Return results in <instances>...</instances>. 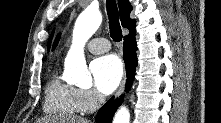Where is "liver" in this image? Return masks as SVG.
Instances as JSON below:
<instances>
[{
  "label": "liver",
  "mask_w": 221,
  "mask_h": 123,
  "mask_svg": "<svg viewBox=\"0 0 221 123\" xmlns=\"http://www.w3.org/2000/svg\"><path fill=\"white\" fill-rule=\"evenodd\" d=\"M47 121V120H46ZM52 121H56L55 119H53ZM61 122L65 123L66 120L65 119H62L60 120ZM67 122L69 123H90L89 120L87 119H84V118H77V117H72L70 118V120H67Z\"/></svg>",
  "instance_id": "liver-1"
}]
</instances>
